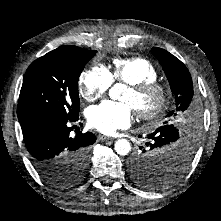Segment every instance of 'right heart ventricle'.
Returning a JSON list of instances; mask_svg holds the SVG:
<instances>
[{
  "label": "right heart ventricle",
  "instance_id": "1",
  "mask_svg": "<svg viewBox=\"0 0 221 221\" xmlns=\"http://www.w3.org/2000/svg\"><path fill=\"white\" fill-rule=\"evenodd\" d=\"M110 74L113 80L128 85L154 81L158 77V71L155 66L142 57L114 59Z\"/></svg>",
  "mask_w": 221,
  "mask_h": 221
}]
</instances>
